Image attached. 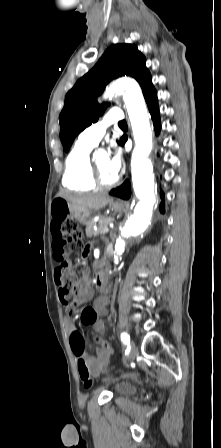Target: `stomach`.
<instances>
[{
    "label": "stomach",
    "instance_id": "1",
    "mask_svg": "<svg viewBox=\"0 0 221 448\" xmlns=\"http://www.w3.org/2000/svg\"><path fill=\"white\" fill-rule=\"evenodd\" d=\"M66 203V202H65ZM68 212L75 218L80 224L88 225L91 222L90 212L86 210H78L73 208L69 203H66ZM110 208L114 212H122L126 208V204L122 202H110Z\"/></svg>",
    "mask_w": 221,
    "mask_h": 448
}]
</instances>
